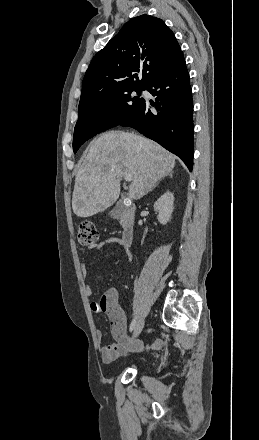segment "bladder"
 I'll use <instances>...</instances> for the list:
<instances>
[{"label":"bladder","mask_w":259,"mask_h":440,"mask_svg":"<svg viewBox=\"0 0 259 440\" xmlns=\"http://www.w3.org/2000/svg\"><path fill=\"white\" fill-rule=\"evenodd\" d=\"M138 365H139V366H141V365H142L141 361H139V362H138Z\"/></svg>","instance_id":"1"}]
</instances>
